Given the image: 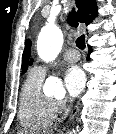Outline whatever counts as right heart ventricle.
I'll return each mask as SVG.
<instances>
[{"label": "right heart ventricle", "instance_id": "1", "mask_svg": "<svg viewBox=\"0 0 116 134\" xmlns=\"http://www.w3.org/2000/svg\"><path fill=\"white\" fill-rule=\"evenodd\" d=\"M44 73L34 67L28 72L20 93L19 120L29 129H42L56 118L53 100L42 91Z\"/></svg>", "mask_w": 116, "mask_h": 134}]
</instances>
